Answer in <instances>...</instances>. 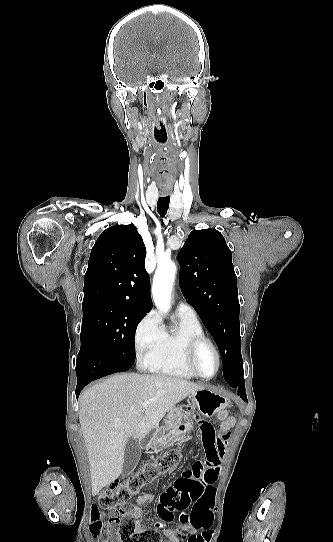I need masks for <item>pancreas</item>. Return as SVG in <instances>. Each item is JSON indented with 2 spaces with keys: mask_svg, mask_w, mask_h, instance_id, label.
Instances as JSON below:
<instances>
[{
  "mask_svg": "<svg viewBox=\"0 0 333 542\" xmlns=\"http://www.w3.org/2000/svg\"><path fill=\"white\" fill-rule=\"evenodd\" d=\"M182 416V410L181 408H171V410H168V414H166V420H164V424H175L177 420H181Z\"/></svg>",
  "mask_w": 333,
  "mask_h": 542,
  "instance_id": "obj_1",
  "label": "pancreas"
}]
</instances>
